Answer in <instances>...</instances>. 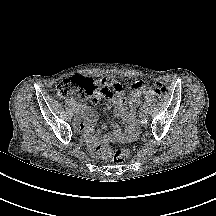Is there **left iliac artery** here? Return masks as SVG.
<instances>
[{
	"label": "left iliac artery",
	"instance_id": "1",
	"mask_svg": "<svg viewBox=\"0 0 216 216\" xmlns=\"http://www.w3.org/2000/svg\"><path fill=\"white\" fill-rule=\"evenodd\" d=\"M142 105V108L140 109L142 112L145 110L144 108V106L146 105L144 102L141 104Z\"/></svg>",
	"mask_w": 216,
	"mask_h": 216
}]
</instances>
